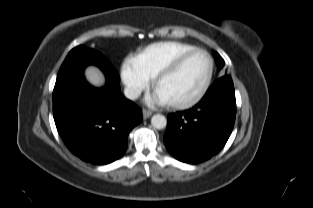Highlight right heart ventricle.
Here are the masks:
<instances>
[{
	"label": "right heart ventricle",
	"instance_id": "1",
	"mask_svg": "<svg viewBox=\"0 0 313 208\" xmlns=\"http://www.w3.org/2000/svg\"><path fill=\"white\" fill-rule=\"evenodd\" d=\"M195 48L192 44L178 41L158 42L141 51L133 59V63L140 71L153 78L179 55Z\"/></svg>",
	"mask_w": 313,
	"mask_h": 208
}]
</instances>
